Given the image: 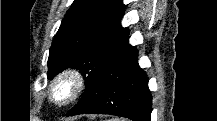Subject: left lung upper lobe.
I'll list each match as a JSON object with an SVG mask.
<instances>
[{"label": "left lung upper lobe", "mask_w": 217, "mask_h": 121, "mask_svg": "<svg viewBox=\"0 0 217 121\" xmlns=\"http://www.w3.org/2000/svg\"><path fill=\"white\" fill-rule=\"evenodd\" d=\"M122 0H74L50 48L48 79L63 69H79L86 88L128 35L121 26Z\"/></svg>", "instance_id": "left-lung-upper-lobe-1"}]
</instances>
